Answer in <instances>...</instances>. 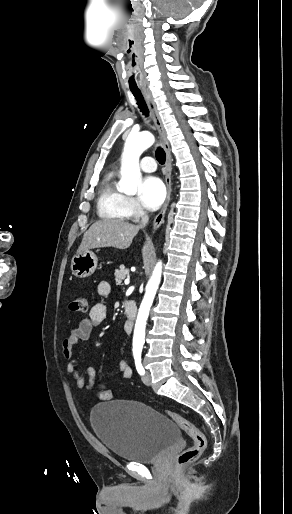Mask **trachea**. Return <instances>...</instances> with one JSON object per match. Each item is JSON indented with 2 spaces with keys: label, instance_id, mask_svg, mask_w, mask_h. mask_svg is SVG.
Wrapping results in <instances>:
<instances>
[{
  "label": "trachea",
  "instance_id": "3493384b",
  "mask_svg": "<svg viewBox=\"0 0 292 514\" xmlns=\"http://www.w3.org/2000/svg\"><path fill=\"white\" fill-rule=\"evenodd\" d=\"M131 92L133 93L134 97L136 98V101H137V105L140 109V111L142 112L143 115H145V117H148L149 116V110H148V107L143 99V96L141 94V91L140 90H131ZM155 156H156V159L157 161L163 165L165 163V160H166V154H165V151L163 150L162 147H158L156 152H155Z\"/></svg>",
  "mask_w": 292,
  "mask_h": 514
}]
</instances>
